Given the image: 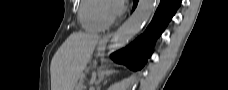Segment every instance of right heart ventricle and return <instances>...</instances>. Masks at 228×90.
Returning a JSON list of instances; mask_svg holds the SVG:
<instances>
[{
	"mask_svg": "<svg viewBox=\"0 0 228 90\" xmlns=\"http://www.w3.org/2000/svg\"><path fill=\"white\" fill-rule=\"evenodd\" d=\"M103 0H83L81 1L78 18L81 26L89 32H101L107 25L100 18V7Z\"/></svg>",
	"mask_w": 228,
	"mask_h": 90,
	"instance_id": "e07e8e85",
	"label": "right heart ventricle"
}]
</instances>
